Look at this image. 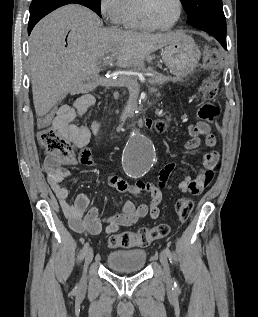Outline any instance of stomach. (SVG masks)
Here are the masks:
<instances>
[{
  "mask_svg": "<svg viewBox=\"0 0 258 317\" xmlns=\"http://www.w3.org/2000/svg\"><path fill=\"white\" fill-rule=\"evenodd\" d=\"M162 58L172 74L186 76L196 66L200 58V50L195 44L194 38L189 34H184L181 40L164 46Z\"/></svg>",
  "mask_w": 258,
  "mask_h": 317,
  "instance_id": "stomach-1",
  "label": "stomach"
}]
</instances>
